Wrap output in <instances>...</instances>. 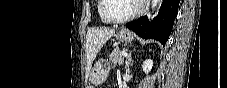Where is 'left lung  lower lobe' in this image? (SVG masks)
<instances>
[{
	"instance_id": "1",
	"label": "left lung lower lobe",
	"mask_w": 227,
	"mask_h": 88,
	"mask_svg": "<svg viewBox=\"0 0 227 88\" xmlns=\"http://www.w3.org/2000/svg\"><path fill=\"white\" fill-rule=\"evenodd\" d=\"M180 0H163L157 17L149 22L146 16L126 25L144 39H155L165 46L177 16Z\"/></svg>"
}]
</instances>
